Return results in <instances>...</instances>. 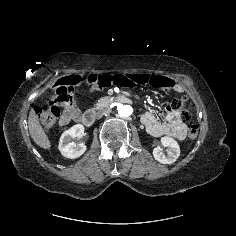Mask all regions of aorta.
<instances>
[{
  "mask_svg": "<svg viewBox=\"0 0 236 236\" xmlns=\"http://www.w3.org/2000/svg\"><path fill=\"white\" fill-rule=\"evenodd\" d=\"M133 114V108L130 105H120L117 108V115L121 118H128Z\"/></svg>",
  "mask_w": 236,
  "mask_h": 236,
  "instance_id": "1",
  "label": "aorta"
}]
</instances>
